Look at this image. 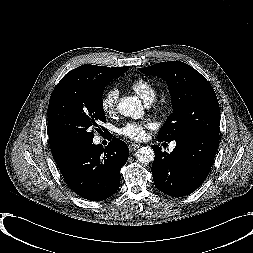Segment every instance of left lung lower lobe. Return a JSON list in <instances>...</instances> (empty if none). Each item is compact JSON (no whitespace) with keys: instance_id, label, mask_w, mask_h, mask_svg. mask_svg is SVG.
I'll use <instances>...</instances> for the list:
<instances>
[{"instance_id":"0a47b994","label":"left lung lower lobe","mask_w":253,"mask_h":253,"mask_svg":"<svg viewBox=\"0 0 253 253\" xmlns=\"http://www.w3.org/2000/svg\"><path fill=\"white\" fill-rule=\"evenodd\" d=\"M219 138L214 133L187 134L175 140L176 147L171 154L153 145L155 158L151 170L156 188L173 197L195 191L211 170Z\"/></svg>"}]
</instances>
